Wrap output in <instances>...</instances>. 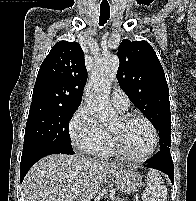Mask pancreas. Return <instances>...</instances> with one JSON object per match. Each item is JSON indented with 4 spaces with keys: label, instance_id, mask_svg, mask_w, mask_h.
<instances>
[{
    "label": "pancreas",
    "instance_id": "pancreas-1",
    "mask_svg": "<svg viewBox=\"0 0 196 201\" xmlns=\"http://www.w3.org/2000/svg\"><path fill=\"white\" fill-rule=\"evenodd\" d=\"M114 201H121V200H117V199H115Z\"/></svg>",
    "mask_w": 196,
    "mask_h": 201
}]
</instances>
